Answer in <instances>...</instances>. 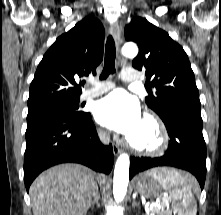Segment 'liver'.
<instances>
[{
    "mask_svg": "<svg viewBox=\"0 0 221 215\" xmlns=\"http://www.w3.org/2000/svg\"><path fill=\"white\" fill-rule=\"evenodd\" d=\"M97 176L79 164H61L42 172L30 187L34 215H85L97 192Z\"/></svg>",
    "mask_w": 221,
    "mask_h": 215,
    "instance_id": "6515ba94",
    "label": "liver"
}]
</instances>
